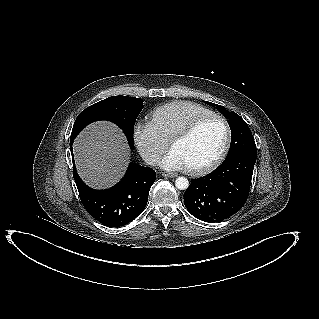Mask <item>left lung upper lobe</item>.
Here are the masks:
<instances>
[{"label":"left lung upper lobe","mask_w":319,"mask_h":319,"mask_svg":"<svg viewBox=\"0 0 319 319\" xmlns=\"http://www.w3.org/2000/svg\"><path fill=\"white\" fill-rule=\"evenodd\" d=\"M206 104L216 106L217 109L227 118L231 129L232 140L230 149L225 160L239 155H251L257 157V149L252 133L246 122L235 112H228L224 107L204 101Z\"/></svg>","instance_id":"1"}]
</instances>
